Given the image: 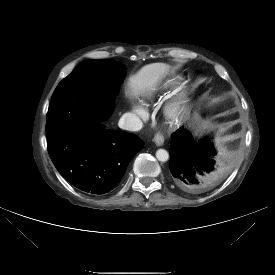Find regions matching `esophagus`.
I'll list each match as a JSON object with an SVG mask.
<instances>
[{"instance_id":"obj_1","label":"esophagus","mask_w":275,"mask_h":275,"mask_svg":"<svg viewBox=\"0 0 275 275\" xmlns=\"http://www.w3.org/2000/svg\"><path fill=\"white\" fill-rule=\"evenodd\" d=\"M153 140L157 146H162L164 144V136L161 133L155 134Z\"/></svg>"}]
</instances>
